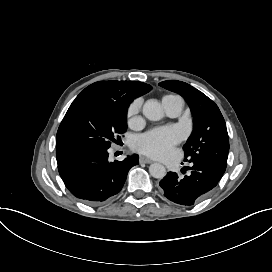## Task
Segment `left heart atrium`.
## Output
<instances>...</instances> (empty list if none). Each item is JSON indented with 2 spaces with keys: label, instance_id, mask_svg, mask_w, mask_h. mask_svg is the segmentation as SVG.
Masks as SVG:
<instances>
[{
  "label": "left heart atrium",
  "instance_id": "1",
  "mask_svg": "<svg viewBox=\"0 0 272 272\" xmlns=\"http://www.w3.org/2000/svg\"><path fill=\"white\" fill-rule=\"evenodd\" d=\"M177 143L175 131L170 127H161L140 136L133 144L135 150L155 158H165Z\"/></svg>",
  "mask_w": 272,
  "mask_h": 272
}]
</instances>
